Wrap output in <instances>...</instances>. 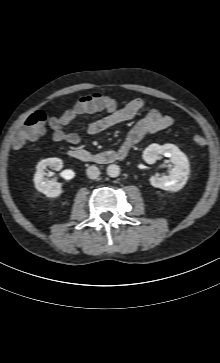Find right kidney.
<instances>
[{
	"label": "right kidney",
	"instance_id": "1",
	"mask_svg": "<svg viewBox=\"0 0 220 363\" xmlns=\"http://www.w3.org/2000/svg\"><path fill=\"white\" fill-rule=\"evenodd\" d=\"M47 166L53 167L54 170L59 171L63 168V161L59 158H47L40 161L36 166V173L34 174L35 188L45 194L47 197L55 198L62 193V185L57 181H45V169Z\"/></svg>",
	"mask_w": 220,
	"mask_h": 363
}]
</instances>
